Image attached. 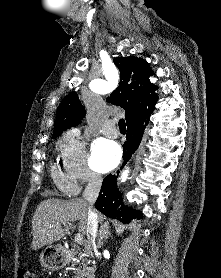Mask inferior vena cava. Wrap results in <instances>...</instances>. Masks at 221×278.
<instances>
[{
	"label": "inferior vena cava",
	"instance_id": "obj_1",
	"mask_svg": "<svg viewBox=\"0 0 221 278\" xmlns=\"http://www.w3.org/2000/svg\"><path fill=\"white\" fill-rule=\"evenodd\" d=\"M102 184V177L97 173H90L89 182L83 192V197L89 204L88 223H87V237L93 247L96 246V236L98 227V215L95 212L93 205L99 195Z\"/></svg>",
	"mask_w": 221,
	"mask_h": 278
}]
</instances>
